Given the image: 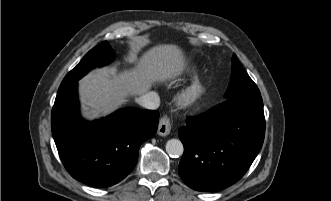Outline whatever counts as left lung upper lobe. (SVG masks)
<instances>
[{
    "mask_svg": "<svg viewBox=\"0 0 331 201\" xmlns=\"http://www.w3.org/2000/svg\"><path fill=\"white\" fill-rule=\"evenodd\" d=\"M259 94L260 91L256 84L244 70L236 55H234L232 58V76L228 89L225 93V98L231 99L235 97Z\"/></svg>",
    "mask_w": 331,
    "mask_h": 201,
    "instance_id": "5c2ea615",
    "label": "left lung upper lobe"
}]
</instances>
